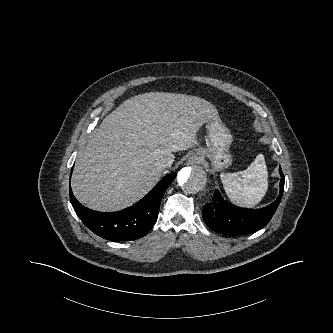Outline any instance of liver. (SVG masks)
<instances>
[{
  "label": "liver",
  "mask_w": 333,
  "mask_h": 333,
  "mask_svg": "<svg viewBox=\"0 0 333 333\" xmlns=\"http://www.w3.org/2000/svg\"><path fill=\"white\" fill-rule=\"evenodd\" d=\"M210 102L184 94L150 92L124 101L104 118L74 165L71 187L85 206L102 212L133 205L160 180L158 161L198 145L205 123L218 121Z\"/></svg>",
  "instance_id": "obj_1"
}]
</instances>
